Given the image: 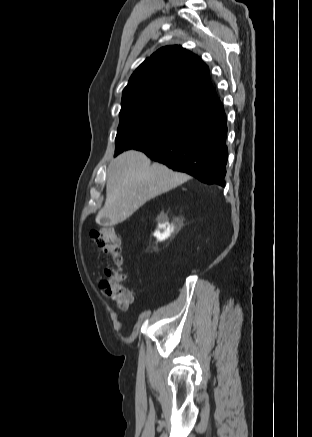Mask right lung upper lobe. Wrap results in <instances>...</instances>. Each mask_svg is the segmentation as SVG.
Wrapping results in <instances>:
<instances>
[{
    "instance_id": "right-lung-upper-lobe-1",
    "label": "right lung upper lobe",
    "mask_w": 312,
    "mask_h": 437,
    "mask_svg": "<svg viewBox=\"0 0 312 437\" xmlns=\"http://www.w3.org/2000/svg\"><path fill=\"white\" fill-rule=\"evenodd\" d=\"M220 101L208 66L181 46H167L147 58L123 90L122 108L164 103L198 113Z\"/></svg>"
}]
</instances>
